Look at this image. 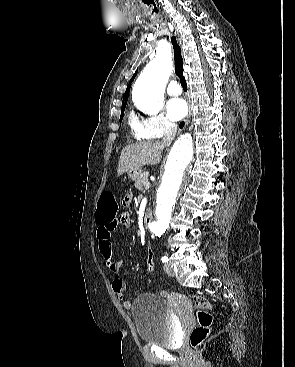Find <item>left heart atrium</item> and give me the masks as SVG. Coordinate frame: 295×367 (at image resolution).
Returning a JSON list of instances; mask_svg holds the SVG:
<instances>
[{
    "label": "left heart atrium",
    "mask_w": 295,
    "mask_h": 367,
    "mask_svg": "<svg viewBox=\"0 0 295 367\" xmlns=\"http://www.w3.org/2000/svg\"><path fill=\"white\" fill-rule=\"evenodd\" d=\"M167 111L171 119L180 120L187 114L188 107L185 100L174 98L168 102Z\"/></svg>",
    "instance_id": "1"
}]
</instances>
